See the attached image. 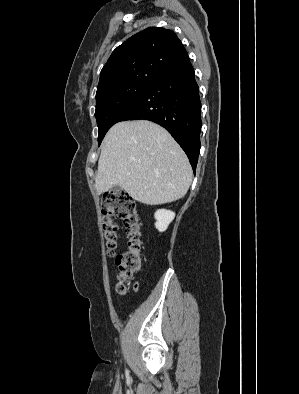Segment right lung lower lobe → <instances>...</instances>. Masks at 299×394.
Segmentation results:
<instances>
[{
  "label": "right lung lower lobe",
  "mask_w": 299,
  "mask_h": 394,
  "mask_svg": "<svg viewBox=\"0 0 299 394\" xmlns=\"http://www.w3.org/2000/svg\"><path fill=\"white\" fill-rule=\"evenodd\" d=\"M153 121L169 131L195 172L200 152L201 102L189 58L159 76L119 118Z\"/></svg>",
  "instance_id": "98d812e1"
}]
</instances>
